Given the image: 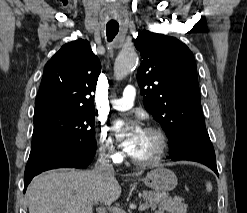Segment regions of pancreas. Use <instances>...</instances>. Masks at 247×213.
Returning a JSON list of instances; mask_svg holds the SVG:
<instances>
[{
	"mask_svg": "<svg viewBox=\"0 0 247 213\" xmlns=\"http://www.w3.org/2000/svg\"><path fill=\"white\" fill-rule=\"evenodd\" d=\"M142 197L149 207L156 209L157 213H186L187 204L184 203V199L178 196L174 198L169 197L167 194H161L153 191H143Z\"/></svg>",
	"mask_w": 247,
	"mask_h": 213,
	"instance_id": "obj_1",
	"label": "pancreas"
}]
</instances>
